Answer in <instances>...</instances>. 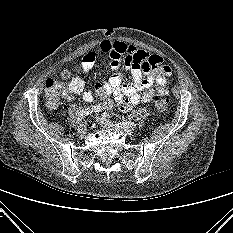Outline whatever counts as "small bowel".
Instances as JSON below:
<instances>
[{"label":"small bowel","instance_id":"1","mask_svg":"<svg viewBox=\"0 0 233 233\" xmlns=\"http://www.w3.org/2000/svg\"><path fill=\"white\" fill-rule=\"evenodd\" d=\"M98 52L110 60L112 75L102 84L122 112H127L140 103L150 102L155 94L153 85H156L158 93H168L167 77L172 74V70L163 64L160 56L121 41L105 40L100 43L98 51L92 50L85 54L81 63L83 73H88L99 62ZM121 64L130 69L132 85H122V74L119 70ZM79 93H82L86 102H91L94 98L93 90H85L84 81L75 77L69 83L68 97Z\"/></svg>","mask_w":233,"mask_h":233}]
</instances>
